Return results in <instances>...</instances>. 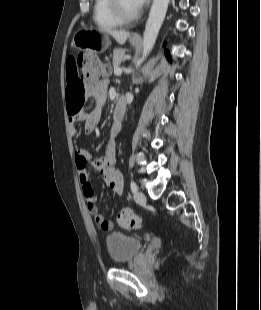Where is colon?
<instances>
[{"instance_id": "obj_1", "label": "colon", "mask_w": 261, "mask_h": 310, "mask_svg": "<svg viewBox=\"0 0 261 310\" xmlns=\"http://www.w3.org/2000/svg\"><path fill=\"white\" fill-rule=\"evenodd\" d=\"M76 64L81 70V77L79 80L82 84L96 83L100 76L108 72L107 65L91 54H81L77 58ZM117 221L121 227L127 229L139 228L142 225L141 217L129 209H122L118 213ZM103 227H107V224L105 223Z\"/></svg>"}]
</instances>
